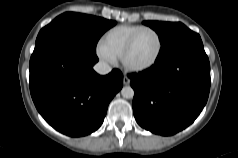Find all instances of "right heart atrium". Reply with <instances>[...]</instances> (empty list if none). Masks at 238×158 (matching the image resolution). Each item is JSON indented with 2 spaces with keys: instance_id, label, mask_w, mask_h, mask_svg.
I'll return each mask as SVG.
<instances>
[{
  "instance_id": "d8ad5b80",
  "label": "right heart atrium",
  "mask_w": 238,
  "mask_h": 158,
  "mask_svg": "<svg viewBox=\"0 0 238 158\" xmlns=\"http://www.w3.org/2000/svg\"><path fill=\"white\" fill-rule=\"evenodd\" d=\"M97 54L103 61L107 63L112 64L116 61V57L106 50L101 43H99L97 46Z\"/></svg>"
}]
</instances>
